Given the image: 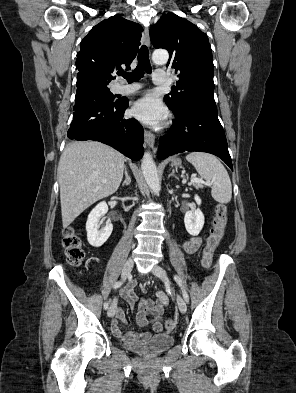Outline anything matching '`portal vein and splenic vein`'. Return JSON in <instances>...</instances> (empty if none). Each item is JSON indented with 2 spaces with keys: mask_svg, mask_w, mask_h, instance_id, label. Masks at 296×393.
<instances>
[{
  "mask_svg": "<svg viewBox=\"0 0 296 393\" xmlns=\"http://www.w3.org/2000/svg\"><path fill=\"white\" fill-rule=\"evenodd\" d=\"M191 182H199V183H205L202 179H199V178H196V177H193V178H191ZM205 184H207V183H205Z\"/></svg>",
  "mask_w": 296,
  "mask_h": 393,
  "instance_id": "portal-vein-and-splenic-vein-1",
  "label": "portal vein and splenic vein"
}]
</instances>
